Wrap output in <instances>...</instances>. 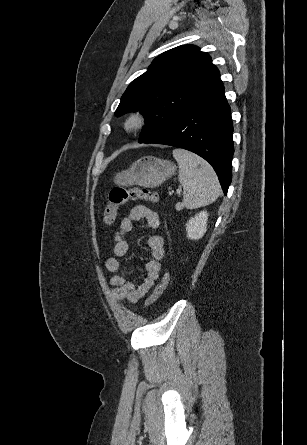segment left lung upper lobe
Wrapping results in <instances>:
<instances>
[{
  "label": "left lung upper lobe",
  "mask_w": 307,
  "mask_h": 445,
  "mask_svg": "<svg viewBox=\"0 0 307 445\" xmlns=\"http://www.w3.org/2000/svg\"><path fill=\"white\" fill-rule=\"evenodd\" d=\"M221 84L220 73L207 53L194 45L179 46L155 58L149 69L130 83L115 115L132 111L144 115L142 143Z\"/></svg>",
  "instance_id": "5c2ea615"
}]
</instances>
